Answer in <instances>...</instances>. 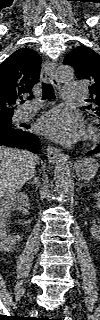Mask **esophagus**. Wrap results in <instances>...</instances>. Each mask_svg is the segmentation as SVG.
<instances>
[{
	"label": "esophagus",
	"mask_w": 100,
	"mask_h": 320,
	"mask_svg": "<svg viewBox=\"0 0 100 320\" xmlns=\"http://www.w3.org/2000/svg\"><path fill=\"white\" fill-rule=\"evenodd\" d=\"M55 68H56V63L47 60L42 68L41 78L44 81H50L54 87L58 88L59 82L55 78ZM47 157H48V160L54 164V163H57L61 157H63V154L60 149L53 146H48ZM66 158L68 159L69 157L66 156Z\"/></svg>",
	"instance_id": "1"
}]
</instances>
